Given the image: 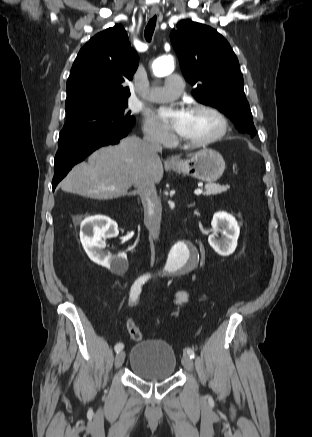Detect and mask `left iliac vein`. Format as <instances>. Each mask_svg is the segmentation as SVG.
Segmentation results:
<instances>
[{"instance_id": "4c4485c4", "label": "left iliac vein", "mask_w": 312, "mask_h": 437, "mask_svg": "<svg viewBox=\"0 0 312 437\" xmlns=\"http://www.w3.org/2000/svg\"><path fill=\"white\" fill-rule=\"evenodd\" d=\"M182 364L185 367V369L189 372L194 371V365L192 359L189 357V355L184 354L182 357Z\"/></svg>"}]
</instances>
